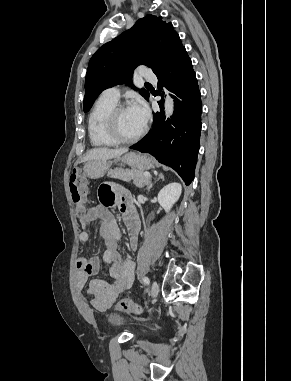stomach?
I'll use <instances>...</instances> for the list:
<instances>
[{
    "mask_svg": "<svg viewBox=\"0 0 291 381\" xmlns=\"http://www.w3.org/2000/svg\"><path fill=\"white\" fill-rule=\"evenodd\" d=\"M116 161L126 163L133 169L140 171L149 170L154 167L152 158L135 152H129L122 158H118ZM111 165L112 162L108 160H92L85 164L83 173L89 178L97 179L103 177Z\"/></svg>",
    "mask_w": 291,
    "mask_h": 381,
    "instance_id": "stomach-1",
    "label": "stomach"
}]
</instances>
